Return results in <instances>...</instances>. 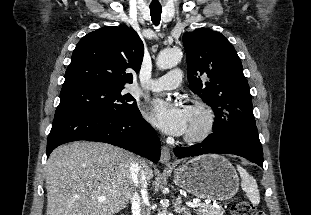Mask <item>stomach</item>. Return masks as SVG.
<instances>
[{"mask_svg":"<svg viewBox=\"0 0 311 215\" xmlns=\"http://www.w3.org/2000/svg\"><path fill=\"white\" fill-rule=\"evenodd\" d=\"M174 181L199 199L226 201L238 192L239 178L232 164L216 154L193 158L174 170Z\"/></svg>","mask_w":311,"mask_h":215,"instance_id":"0dacf381","label":"stomach"}]
</instances>
